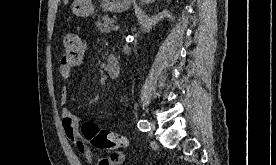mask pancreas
Returning a JSON list of instances; mask_svg holds the SVG:
<instances>
[{
    "label": "pancreas",
    "instance_id": "1",
    "mask_svg": "<svg viewBox=\"0 0 276 165\" xmlns=\"http://www.w3.org/2000/svg\"><path fill=\"white\" fill-rule=\"evenodd\" d=\"M112 23H113V20L110 19L107 15H105L101 19H98L95 22V26L102 33H109L111 31V28L109 25H111Z\"/></svg>",
    "mask_w": 276,
    "mask_h": 165
}]
</instances>
